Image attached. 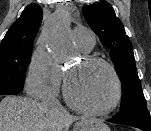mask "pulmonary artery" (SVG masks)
<instances>
[{
	"label": "pulmonary artery",
	"mask_w": 151,
	"mask_h": 131,
	"mask_svg": "<svg viewBox=\"0 0 151 131\" xmlns=\"http://www.w3.org/2000/svg\"><path fill=\"white\" fill-rule=\"evenodd\" d=\"M73 36L78 46L85 52L90 51L95 44L94 33L87 28H75Z\"/></svg>",
	"instance_id": "obj_1"
}]
</instances>
